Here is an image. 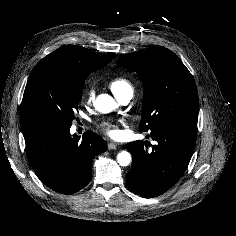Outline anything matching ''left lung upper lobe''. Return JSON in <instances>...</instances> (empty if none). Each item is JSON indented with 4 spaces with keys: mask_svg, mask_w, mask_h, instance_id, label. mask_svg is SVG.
<instances>
[{
    "mask_svg": "<svg viewBox=\"0 0 236 236\" xmlns=\"http://www.w3.org/2000/svg\"><path fill=\"white\" fill-rule=\"evenodd\" d=\"M136 71L144 80L141 131L186 124L197 127L198 94L193 76L167 48H147L121 56L117 67Z\"/></svg>",
    "mask_w": 236,
    "mask_h": 236,
    "instance_id": "obj_1",
    "label": "left lung upper lobe"
}]
</instances>
